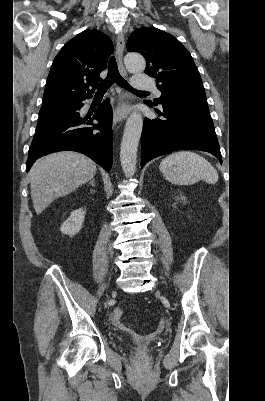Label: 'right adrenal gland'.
I'll return each instance as SVG.
<instances>
[{"instance_id": "2a0ac1e0", "label": "right adrenal gland", "mask_w": 265, "mask_h": 401, "mask_svg": "<svg viewBox=\"0 0 265 401\" xmlns=\"http://www.w3.org/2000/svg\"><path fill=\"white\" fill-rule=\"evenodd\" d=\"M94 182H95V180H90V182H88V184H92V186H95Z\"/></svg>"}]
</instances>
